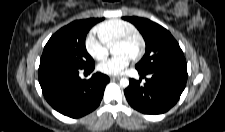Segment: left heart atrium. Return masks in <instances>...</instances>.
<instances>
[{
    "label": "left heart atrium",
    "instance_id": "1",
    "mask_svg": "<svg viewBox=\"0 0 225 132\" xmlns=\"http://www.w3.org/2000/svg\"><path fill=\"white\" fill-rule=\"evenodd\" d=\"M131 57L127 54H119L98 65V70L106 75H119L129 65Z\"/></svg>",
    "mask_w": 225,
    "mask_h": 132
}]
</instances>
